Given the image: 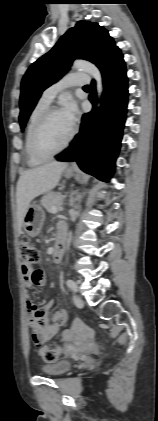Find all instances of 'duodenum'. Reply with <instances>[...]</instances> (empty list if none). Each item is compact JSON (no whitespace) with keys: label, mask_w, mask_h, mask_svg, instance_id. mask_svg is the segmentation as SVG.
<instances>
[{"label":"duodenum","mask_w":158,"mask_h":421,"mask_svg":"<svg viewBox=\"0 0 158 421\" xmlns=\"http://www.w3.org/2000/svg\"><path fill=\"white\" fill-rule=\"evenodd\" d=\"M65 249H66V236L65 233H61L57 239L54 251H53V260L56 263H59L65 253Z\"/></svg>","instance_id":"obj_1"}]
</instances>
